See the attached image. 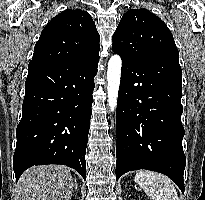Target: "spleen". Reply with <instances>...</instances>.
Returning <instances> with one entry per match:
<instances>
[{"label": "spleen", "mask_w": 205, "mask_h": 200, "mask_svg": "<svg viewBox=\"0 0 205 200\" xmlns=\"http://www.w3.org/2000/svg\"><path fill=\"white\" fill-rule=\"evenodd\" d=\"M135 182L152 200H179L175 185L167 176L149 170H141Z\"/></svg>", "instance_id": "1"}]
</instances>
